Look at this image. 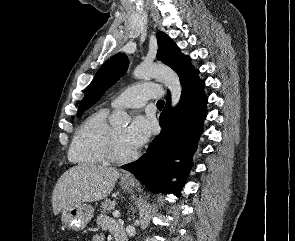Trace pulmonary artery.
I'll list each match as a JSON object with an SVG mask.
<instances>
[{"mask_svg": "<svg viewBox=\"0 0 295 241\" xmlns=\"http://www.w3.org/2000/svg\"><path fill=\"white\" fill-rule=\"evenodd\" d=\"M160 86L154 83H141L129 87L115 97L110 105L117 108H139L150 99L161 97Z\"/></svg>", "mask_w": 295, "mask_h": 241, "instance_id": "e3ab8cb5", "label": "pulmonary artery"}]
</instances>
